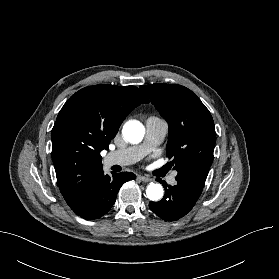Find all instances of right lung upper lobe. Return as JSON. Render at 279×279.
<instances>
[{
    "mask_svg": "<svg viewBox=\"0 0 279 279\" xmlns=\"http://www.w3.org/2000/svg\"><path fill=\"white\" fill-rule=\"evenodd\" d=\"M148 98L135 86L85 87L60 110L52 137V159L58 185L73 207L102 171L100 152L108 149L126 116Z\"/></svg>",
    "mask_w": 279,
    "mask_h": 279,
    "instance_id": "1",
    "label": "right lung upper lobe"
}]
</instances>
